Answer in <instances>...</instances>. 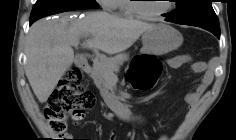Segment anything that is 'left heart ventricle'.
<instances>
[{"label": "left heart ventricle", "instance_id": "1", "mask_svg": "<svg viewBox=\"0 0 236 140\" xmlns=\"http://www.w3.org/2000/svg\"><path fill=\"white\" fill-rule=\"evenodd\" d=\"M141 5L142 9L149 13H156L165 10L168 2L163 0H145Z\"/></svg>", "mask_w": 236, "mask_h": 140}]
</instances>
